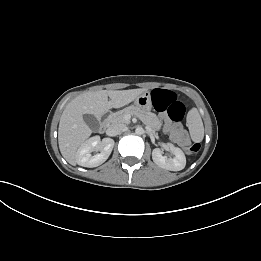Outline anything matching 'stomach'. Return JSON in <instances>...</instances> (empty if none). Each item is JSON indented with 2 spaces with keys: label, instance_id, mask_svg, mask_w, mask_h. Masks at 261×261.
I'll use <instances>...</instances> for the list:
<instances>
[{
  "label": "stomach",
  "instance_id": "0dacf381",
  "mask_svg": "<svg viewBox=\"0 0 261 261\" xmlns=\"http://www.w3.org/2000/svg\"><path fill=\"white\" fill-rule=\"evenodd\" d=\"M135 106L138 108L149 111L152 108V100L149 92H144L134 100Z\"/></svg>",
  "mask_w": 261,
  "mask_h": 261
}]
</instances>
